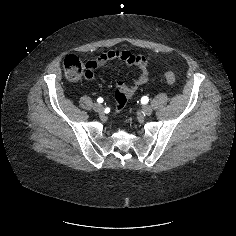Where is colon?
I'll return each mask as SVG.
<instances>
[{
    "instance_id": "obj_1",
    "label": "colon",
    "mask_w": 236,
    "mask_h": 236,
    "mask_svg": "<svg viewBox=\"0 0 236 236\" xmlns=\"http://www.w3.org/2000/svg\"><path fill=\"white\" fill-rule=\"evenodd\" d=\"M63 69L66 78L70 81L91 78L93 75L91 69L87 66V63L82 62L75 55H68L65 57ZM164 79L168 85L172 86L175 83V75L172 72L165 73ZM115 100L120 106H123L126 102L125 96L120 92L115 93Z\"/></svg>"
}]
</instances>
